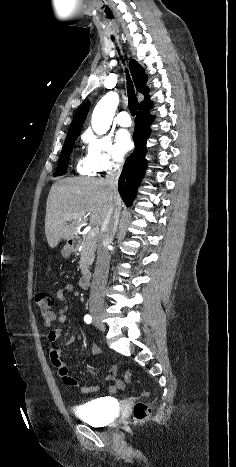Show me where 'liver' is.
<instances>
[{
	"mask_svg": "<svg viewBox=\"0 0 236 467\" xmlns=\"http://www.w3.org/2000/svg\"><path fill=\"white\" fill-rule=\"evenodd\" d=\"M113 201L121 207V199ZM111 203V191L100 178H65L55 182L46 203L45 235L48 245L55 248L62 239L75 238L88 220L101 227ZM72 215L71 220L67 219Z\"/></svg>",
	"mask_w": 236,
	"mask_h": 467,
	"instance_id": "obj_1",
	"label": "liver"
}]
</instances>
